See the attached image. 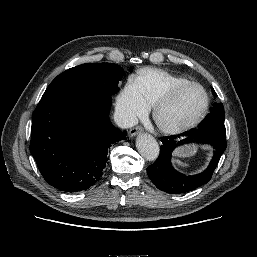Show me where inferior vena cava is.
I'll return each instance as SVG.
<instances>
[{
	"mask_svg": "<svg viewBox=\"0 0 257 257\" xmlns=\"http://www.w3.org/2000/svg\"><path fill=\"white\" fill-rule=\"evenodd\" d=\"M114 121L121 128H131L138 123L137 117L122 108H116L114 113Z\"/></svg>",
	"mask_w": 257,
	"mask_h": 257,
	"instance_id": "1",
	"label": "inferior vena cava"
}]
</instances>
